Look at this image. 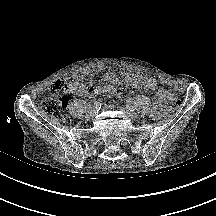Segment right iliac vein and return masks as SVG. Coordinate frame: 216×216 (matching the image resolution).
I'll list each match as a JSON object with an SVG mask.
<instances>
[{"instance_id": "obj_1", "label": "right iliac vein", "mask_w": 216, "mask_h": 216, "mask_svg": "<svg viewBox=\"0 0 216 216\" xmlns=\"http://www.w3.org/2000/svg\"><path fill=\"white\" fill-rule=\"evenodd\" d=\"M95 112L93 111V110H90L89 112H88V114H87V118L88 119H93L94 118V116H95Z\"/></svg>"}]
</instances>
